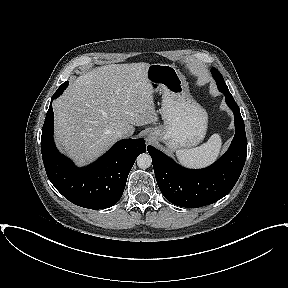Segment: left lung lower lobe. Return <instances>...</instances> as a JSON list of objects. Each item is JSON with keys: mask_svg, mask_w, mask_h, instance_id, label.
Listing matches in <instances>:
<instances>
[{"mask_svg": "<svg viewBox=\"0 0 288 288\" xmlns=\"http://www.w3.org/2000/svg\"><path fill=\"white\" fill-rule=\"evenodd\" d=\"M223 94L234 112L236 132L228 151L214 164L204 169H186L154 147H147L157 184L174 205L197 208L212 204L232 190L242 172L247 155L244 121L230 92Z\"/></svg>", "mask_w": 288, "mask_h": 288, "instance_id": "obj_1", "label": "left lung lower lobe"}]
</instances>
